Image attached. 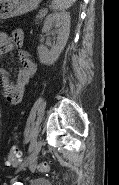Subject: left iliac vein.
I'll return each mask as SVG.
<instances>
[{
  "mask_svg": "<svg viewBox=\"0 0 119 185\" xmlns=\"http://www.w3.org/2000/svg\"><path fill=\"white\" fill-rule=\"evenodd\" d=\"M42 145H43V142L41 140H39L38 142H36L34 144L32 150L30 151L28 157L26 158V162L21 166V168L24 167L26 165V163L32 162L37 158V156L42 148Z\"/></svg>",
  "mask_w": 119,
  "mask_h": 185,
  "instance_id": "1",
  "label": "left iliac vein"
}]
</instances>
